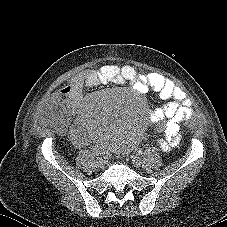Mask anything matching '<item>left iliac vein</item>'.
Wrapping results in <instances>:
<instances>
[{
    "label": "left iliac vein",
    "mask_w": 227,
    "mask_h": 227,
    "mask_svg": "<svg viewBox=\"0 0 227 227\" xmlns=\"http://www.w3.org/2000/svg\"><path fill=\"white\" fill-rule=\"evenodd\" d=\"M131 162L132 164L135 166V167H140L142 165V160L140 157H137V156H133L132 159H131Z\"/></svg>",
    "instance_id": "1"
}]
</instances>
